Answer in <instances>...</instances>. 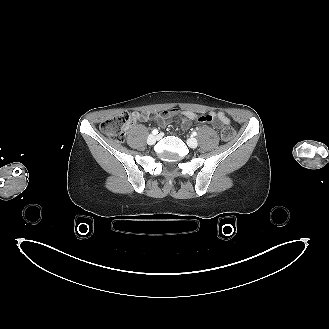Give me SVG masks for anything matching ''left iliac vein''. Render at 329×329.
I'll return each mask as SVG.
<instances>
[{
	"mask_svg": "<svg viewBox=\"0 0 329 329\" xmlns=\"http://www.w3.org/2000/svg\"><path fill=\"white\" fill-rule=\"evenodd\" d=\"M160 138V136H159ZM187 144L190 148H196L198 146V141L195 138H189Z\"/></svg>",
	"mask_w": 329,
	"mask_h": 329,
	"instance_id": "1",
	"label": "left iliac vein"
}]
</instances>
